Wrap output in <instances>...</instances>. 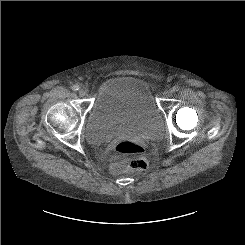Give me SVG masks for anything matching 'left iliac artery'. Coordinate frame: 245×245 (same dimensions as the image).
<instances>
[{"label": "left iliac artery", "mask_w": 245, "mask_h": 245, "mask_svg": "<svg viewBox=\"0 0 245 245\" xmlns=\"http://www.w3.org/2000/svg\"><path fill=\"white\" fill-rule=\"evenodd\" d=\"M179 90V87L178 86H174L173 88H172V91L173 92H177Z\"/></svg>", "instance_id": "left-iliac-artery-1"}]
</instances>
